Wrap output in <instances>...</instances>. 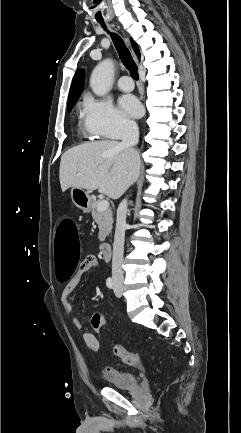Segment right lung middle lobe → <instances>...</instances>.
Returning a JSON list of instances; mask_svg holds the SVG:
<instances>
[{
    "label": "right lung middle lobe",
    "instance_id": "obj_1",
    "mask_svg": "<svg viewBox=\"0 0 241 433\" xmlns=\"http://www.w3.org/2000/svg\"><path fill=\"white\" fill-rule=\"evenodd\" d=\"M73 106H74V105H73ZM73 106H69V107L67 108V111L70 112Z\"/></svg>",
    "mask_w": 241,
    "mask_h": 433
}]
</instances>
